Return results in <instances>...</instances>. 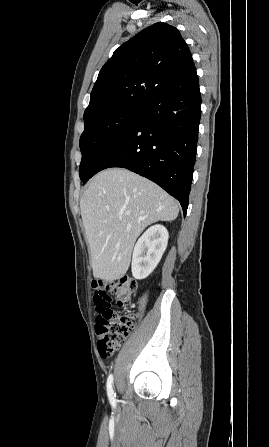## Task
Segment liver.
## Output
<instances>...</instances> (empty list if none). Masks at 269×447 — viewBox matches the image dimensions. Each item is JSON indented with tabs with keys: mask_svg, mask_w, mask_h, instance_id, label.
Masks as SVG:
<instances>
[{
	"mask_svg": "<svg viewBox=\"0 0 269 447\" xmlns=\"http://www.w3.org/2000/svg\"><path fill=\"white\" fill-rule=\"evenodd\" d=\"M80 210L93 275L105 281L125 275L133 245L147 225L172 222L179 214L172 196L124 168L94 176L80 198Z\"/></svg>",
	"mask_w": 269,
	"mask_h": 447,
	"instance_id": "obj_1",
	"label": "liver"
}]
</instances>
